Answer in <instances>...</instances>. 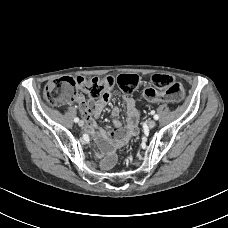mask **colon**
<instances>
[{
	"label": "colon",
	"mask_w": 228,
	"mask_h": 228,
	"mask_svg": "<svg viewBox=\"0 0 228 228\" xmlns=\"http://www.w3.org/2000/svg\"><path fill=\"white\" fill-rule=\"evenodd\" d=\"M116 82L125 94H130L137 88L139 78L136 74H121ZM152 83L154 88H148L143 92V97L147 101L178 102L183 98V86L171 75L156 74L152 77ZM114 84L115 80L112 77H61L47 83L43 96L48 104L57 106L80 100V91L87 93L92 99H98L112 90Z\"/></svg>",
	"instance_id": "1"
}]
</instances>
